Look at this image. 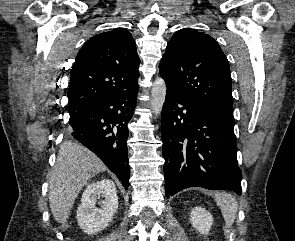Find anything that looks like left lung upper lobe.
Here are the masks:
<instances>
[{
  "instance_id": "left-lung-upper-lobe-1",
  "label": "left lung upper lobe",
  "mask_w": 295,
  "mask_h": 241,
  "mask_svg": "<svg viewBox=\"0 0 295 241\" xmlns=\"http://www.w3.org/2000/svg\"><path fill=\"white\" fill-rule=\"evenodd\" d=\"M167 88L234 125L230 68L218 43L190 28L177 31L159 65Z\"/></svg>"
}]
</instances>
